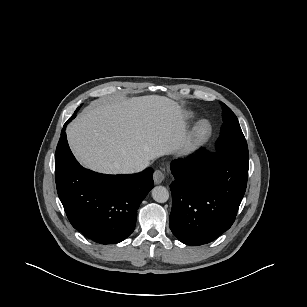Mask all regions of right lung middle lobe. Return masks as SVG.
Segmentation results:
<instances>
[{"label": "right lung middle lobe", "instance_id": "dd1d6c3e", "mask_svg": "<svg viewBox=\"0 0 307 307\" xmlns=\"http://www.w3.org/2000/svg\"><path fill=\"white\" fill-rule=\"evenodd\" d=\"M79 108H80V107H78V108L76 109L75 113L79 110ZM74 117H75V116L71 117V118L69 119V122H70Z\"/></svg>", "mask_w": 307, "mask_h": 307}]
</instances>
